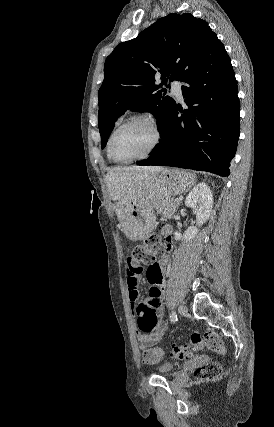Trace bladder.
Listing matches in <instances>:
<instances>
[{
    "label": "bladder",
    "mask_w": 274,
    "mask_h": 427,
    "mask_svg": "<svg viewBox=\"0 0 274 427\" xmlns=\"http://www.w3.org/2000/svg\"><path fill=\"white\" fill-rule=\"evenodd\" d=\"M175 363L173 362H162L157 366V371L160 372V376H171L173 374Z\"/></svg>",
    "instance_id": "31cf9c89"
}]
</instances>
